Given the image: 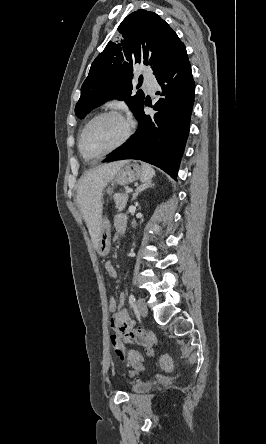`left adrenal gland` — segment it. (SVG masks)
I'll use <instances>...</instances> for the list:
<instances>
[{"label":"left adrenal gland","mask_w":266,"mask_h":444,"mask_svg":"<svg viewBox=\"0 0 266 444\" xmlns=\"http://www.w3.org/2000/svg\"><path fill=\"white\" fill-rule=\"evenodd\" d=\"M153 186H154V184H152L151 181H147V182L141 184L140 186H138L132 195L131 201H134L140 192L146 190L147 188H151Z\"/></svg>","instance_id":"1"}]
</instances>
